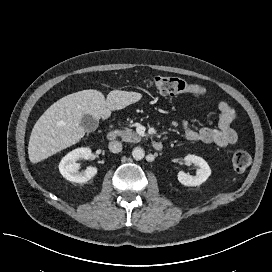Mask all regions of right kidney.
<instances>
[{"label": "right kidney", "instance_id": "ca27d5eb", "mask_svg": "<svg viewBox=\"0 0 272 272\" xmlns=\"http://www.w3.org/2000/svg\"><path fill=\"white\" fill-rule=\"evenodd\" d=\"M90 155V148H77L68 153L59 163L61 175L71 182L86 183L89 181L97 174L98 169L90 166L85 171L79 172L80 165L76 161L80 158L87 159Z\"/></svg>", "mask_w": 272, "mask_h": 272}]
</instances>
